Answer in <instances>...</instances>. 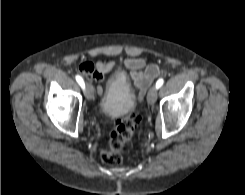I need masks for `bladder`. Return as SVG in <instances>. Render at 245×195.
<instances>
[{
    "instance_id": "1",
    "label": "bladder",
    "mask_w": 245,
    "mask_h": 195,
    "mask_svg": "<svg viewBox=\"0 0 245 195\" xmlns=\"http://www.w3.org/2000/svg\"><path fill=\"white\" fill-rule=\"evenodd\" d=\"M135 107V99L123 73L116 74L108 83L99 102V111L108 117L128 114Z\"/></svg>"
}]
</instances>
